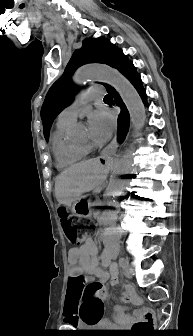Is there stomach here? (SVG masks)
I'll return each mask as SVG.
<instances>
[{
  "mask_svg": "<svg viewBox=\"0 0 193 336\" xmlns=\"http://www.w3.org/2000/svg\"><path fill=\"white\" fill-rule=\"evenodd\" d=\"M72 211L79 217L87 218L90 216V202L86 196L75 199L72 203Z\"/></svg>",
  "mask_w": 193,
  "mask_h": 336,
  "instance_id": "obj_1",
  "label": "stomach"
}]
</instances>
